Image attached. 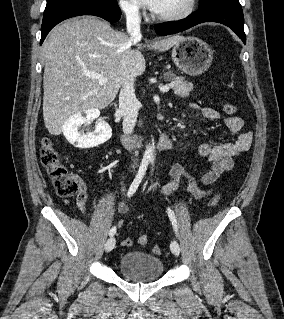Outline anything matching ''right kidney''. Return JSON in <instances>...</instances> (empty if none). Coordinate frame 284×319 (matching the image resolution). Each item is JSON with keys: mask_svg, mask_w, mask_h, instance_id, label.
<instances>
[{"mask_svg": "<svg viewBox=\"0 0 284 319\" xmlns=\"http://www.w3.org/2000/svg\"><path fill=\"white\" fill-rule=\"evenodd\" d=\"M100 115L98 109H88L78 112L65 122L63 134L72 145L80 148H93L103 144L112 136V129L105 121H97L93 132L84 133L80 127L97 119Z\"/></svg>", "mask_w": 284, "mask_h": 319, "instance_id": "ca27d5eb", "label": "right kidney"}]
</instances>
